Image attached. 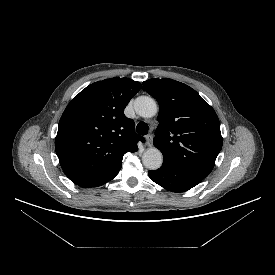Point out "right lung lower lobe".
<instances>
[{
	"label": "right lung lower lobe",
	"mask_w": 275,
	"mask_h": 275,
	"mask_svg": "<svg viewBox=\"0 0 275 275\" xmlns=\"http://www.w3.org/2000/svg\"><path fill=\"white\" fill-rule=\"evenodd\" d=\"M117 175V174H116ZM115 175V176H116ZM115 176H113L111 179H113ZM111 179H109L108 181H110ZM108 181H106V182H108ZM106 182H104V183H102V184H99L98 186H100V185H103V184H105ZM97 187V186H96Z\"/></svg>",
	"instance_id": "1"
}]
</instances>
